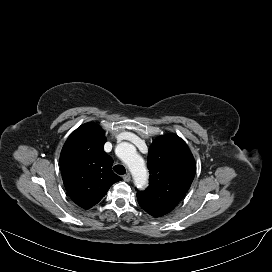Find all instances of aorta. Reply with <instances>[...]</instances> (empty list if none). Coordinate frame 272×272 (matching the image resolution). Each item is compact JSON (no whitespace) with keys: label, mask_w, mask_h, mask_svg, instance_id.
Masks as SVG:
<instances>
[{"label":"aorta","mask_w":272,"mask_h":272,"mask_svg":"<svg viewBox=\"0 0 272 272\" xmlns=\"http://www.w3.org/2000/svg\"><path fill=\"white\" fill-rule=\"evenodd\" d=\"M122 159L128 166L133 176L135 185L137 187L144 186L148 178L146 165L144 163V160L136 153L133 146L126 145L124 147Z\"/></svg>","instance_id":"aorta-1"}]
</instances>
